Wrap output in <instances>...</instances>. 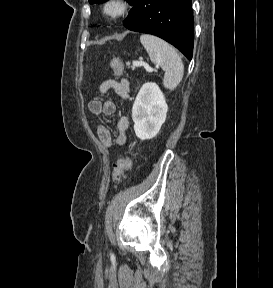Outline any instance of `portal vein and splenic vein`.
<instances>
[{"label":"portal vein and splenic vein","instance_id":"portal-vein-and-splenic-vein-1","mask_svg":"<svg viewBox=\"0 0 273 288\" xmlns=\"http://www.w3.org/2000/svg\"><path fill=\"white\" fill-rule=\"evenodd\" d=\"M140 66H144L148 71H153V69L148 67V65L145 62H142V61H134L133 62V66H132L133 68L140 67Z\"/></svg>","mask_w":273,"mask_h":288}]
</instances>
